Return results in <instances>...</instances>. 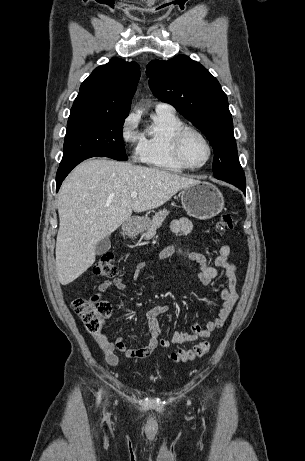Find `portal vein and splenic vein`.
<instances>
[{
	"label": "portal vein and splenic vein",
	"mask_w": 305,
	"mask_h": 461,
	"mask_svg": "<svg viewBox=\"0 0 305 461\" xmlns=\"http://www.w3.org/2000/svg\"><path fill=\"white\" fill-rule=\"evenodd\" d=\"M137 195H138V193H137V192H132V193H131V198H133V199H134V198H136V197H137Z\"/></svg>",
	"instance_id": "portal-vein-and-splenic-vein-1"
}]
</instances>
